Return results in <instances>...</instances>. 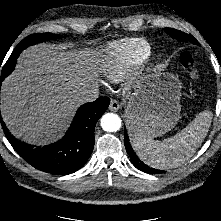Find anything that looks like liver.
Masks as SVG:
<instances>
[{
	"label": "liver",
	"mask_w": 221,
	"mask_h": 221,
	"mask_svg": "<svg viewBox=\"0 0 221 221\" xmlns=\"http://www.w3.org/2000/svg\"><path fill=\"white\" fill-rule=\"evenodd\" d=\"M84 53L37 45L25 50L1 89V115L24 141L45 144L67 128L81 104L77 94L96 85Z\"/></svg>",
	"instance_id": "6515ba94"
}]
</instances>
